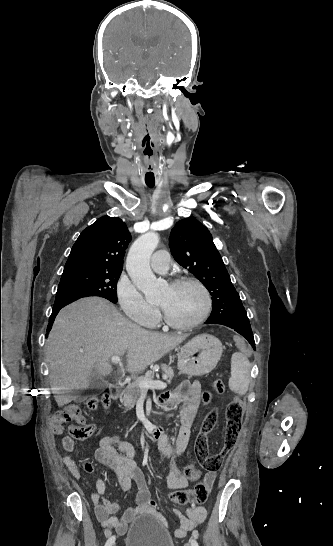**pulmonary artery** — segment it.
<instances>
[{"mask_svg": "<svg viewBox=\"0 0 333 546\" xmlns=\"http://www.w3.org/2000/svg\"><path fill=\"white\" fill-rule=\"evenodd\" d=\"M151 268L157 273H166L170 267V256L165 250L155 252L151 257Z\"/></svg>", "mask_w": 333, "mask_h": 546, "instance_id": "obj_1", "label": "pulmonary artery"}]
</instances>
